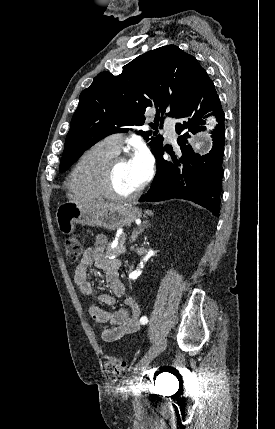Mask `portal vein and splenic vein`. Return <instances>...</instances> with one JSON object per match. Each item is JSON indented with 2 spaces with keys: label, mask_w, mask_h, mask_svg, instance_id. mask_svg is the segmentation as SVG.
I'll return each mask as SVG.
<instances>
[{
  "label": "portal vein and splenic vein",
  "mask_w": 275,
  "mask_h": 429,
  "mask_svg": "<svg viewBox=\"0 0 275 429\" xmlns=\"http://www.w3.org/2000/svg\"><path fill=\"white\" fill-rule=\"evenodd\" d=\"M125 239H126L125 235H123V237H122L123 243L122 244H124ZM112 247H114V246H112Z\"/></svg>",
  "instance_id": "portal-vein-and-splenic-vein-1"
}]
</instances>
